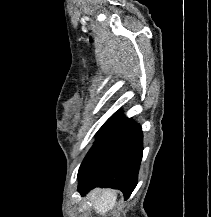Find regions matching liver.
<instances>
[{
    "instance_id": "liver-1",
    "label": "liver",
    "mask_w": 211,
    "mask_h": 217,
    "mask_svg": "<svg viewBox=\"0 0 211 217\" xmlns=\"http://www.w3.org/2000/svg\"><path fill=\"white\" fill-rule=\"evenodd\" d=\"M89 198L93 204V208L97 214H105L115 207L117 194L115 190L94 189L89 193Z\"/></svg>"
}]
</instances>
